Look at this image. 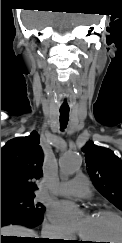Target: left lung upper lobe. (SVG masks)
Returning <instances> with one entry per match:
<instances>
[{"label":"left lung upper lobe","instance_id":"1","mask_svg":"<svg viewBox=\"0 0 122 243\" xmlns=\"http://www.w3.org/2000/svg\"><path fill=\"white\" fill-rule=\"evenodd\" d=\"M85 153L87 171L100 193L122 211V160L110 149L87 143Z\"/></svg>","mask_w":122,"mask_h":243}]
</instances>
